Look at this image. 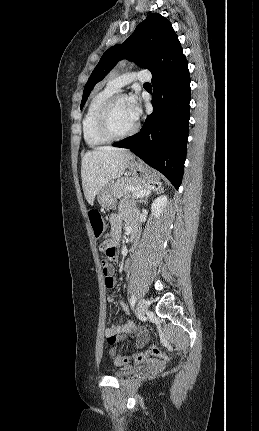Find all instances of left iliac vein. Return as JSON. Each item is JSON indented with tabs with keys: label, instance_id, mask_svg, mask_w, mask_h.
I'll list each match as a JSON object with an SVG mask.
<instances>
[{
	"label": "left iliac vein",
	"instance_id": "left-iliac-vein-1",
	"mask_svg": "<svg viewBox=\"0 0 259 431\" xmlns=\"http://www.w3.org/2000/svg\"><path fill=\"white\" fill-rule=\"evenodd\" d=\"M149 308V303L146 299H140L138 302V312L140 316H144Z\"/></svg>",
	"mask_w": 259,
	"mask_h": 431
}]
</instances>
